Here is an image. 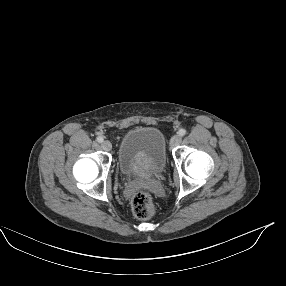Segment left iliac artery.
Listing matches in <instances>:
<instances>
[{"instance_id":"44dca946","label":"left iliac artery","mask_w":286,"mask_h":286,"mask_svg":"<svg viewBox=\"0 0 286 286\" xmlns=\"http://www.w3.org/2000/svg\"><path fill=\"white\" fill-rule=\"evenodd\" d=\"M186 134V130L185 129H180L179 130V135L180 136H184Z\"/></svg>"}]
</instances>
